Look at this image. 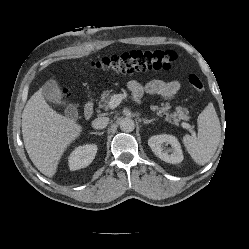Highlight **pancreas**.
Instances as JSON below:
<instances>
[{"label": "pancreas", "mask_w": 249, "mask_h": 249, "mask_svg": "<svg viewBox=\"0 0 249 249\" xmlns=\"http://www.w3.org/2000/svg\"><path fill=\"white\" fill-rule=\"evenodd\" d=\"M112 97V90H106L102 93L100 99V108H108V103ZM153 111H156L157 115L160 117L165 116V120L171 122L175 125H178L181 120H189L188 111L186 108L176 107V111L169 113L171 105L169 103L161 104V106H151Z\"/></svg>", "instance_id": "cf45deb5"}]
</instances>
